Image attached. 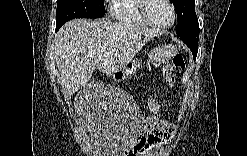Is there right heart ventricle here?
I'll use <instances>...</instances> for the list:
<instances>
[{
	"label": "right heart ventricle",
	"mask_w": 247,
	"mask_h": 156,
	"mask_svg": "<svg viewBox=\"0 0 247 156\" xmlns=\"http://www.w3.org/2000/svg\"><path fill=\"white\" fill-rule=\"evenodd\" d=\"M140 0L114 1L111 13L114 18L125 24L148 26L140 11Z\"/></svg>",
	"instance_id": "1"
}]
</instances>
